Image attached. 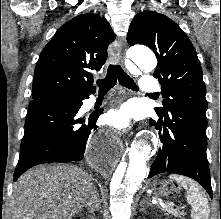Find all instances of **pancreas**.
<instances>
[{"mask_svg": "<svg viewBox=\"0 0 221 219\" xmlns=\"http://www.w3.org/2000/svg\"><path fill=\"white\" fill-rule=\"evenodd\" d=\"M162 211H164L165 214H171V215H173L174 217H177V218H181L182 216L185 215L184 211H181L178 208L175 209L173 206H164V207H162Z\"/></svg>", "mask_w": 221, "mask_h": 219, "instance_id": "cf45deb5", "label": "pancreas"}]
</instances>
